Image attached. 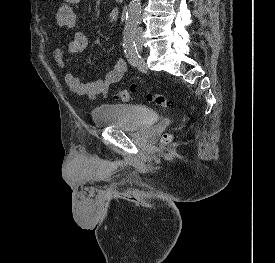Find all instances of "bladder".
Masks as SVG:
<instances>
[{
	"label": "bladder",
	"mask_w": 275,
	"mask_h": 263,
	"mask_svg": "<svg viewBox=\"0 0 275 263\" xmlns=\"http://www.w3.org/2000/svg\"><path fill=\"white\" fill-rule=\"evenodd\" d=\"M92 118L98 127L134 131L155 125L158 114L153 108L142 105L103 104L92 110Z\"/></svg>",
	"instance_id": "bladder-1"
}]
</instances>
